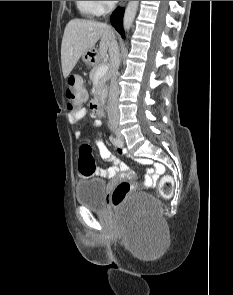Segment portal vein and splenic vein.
Listing matches in <instances>:
<instances>
[{
    "mask_svg": "<svg viewBox=\"0 0 233 295\" xmlns=\"http://www.w3.org/2000/svg\"><path fill=\"white\" fill-rule=\"evenodd\" d=\"M108 70H109V65H107V64H103V65H101V66L98 68V70H97V72H96V76H97V77L102 76V75H104Z\"/></svg>",
    "mask_w": 233,
    "mask_h": 295,
    "instance_id": "obj_1",
    "label": "portal vein and splenic vein"
}]
</instances>
